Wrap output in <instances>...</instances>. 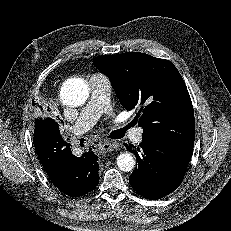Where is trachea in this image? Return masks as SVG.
<instances>
[{
    "instance_id": "trachea-1",
    "label": "trachea",
    "mask_w": 231,
    "mask_h": 231,
    "mask_svg": "<svg viewBox=\"0 0 231 231\" xmlns=\"http://www.w3.org/2000/svg\"><path fill=\"white\" fill-rule=\"evenodd\" d=\"M127 128H123V129H119V130H115L113 132H111L109 138L111 139H121L124 137L125 135V131Z\"/></svg>"
}]
</instances>
